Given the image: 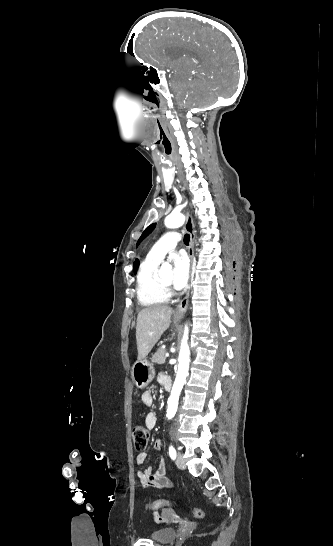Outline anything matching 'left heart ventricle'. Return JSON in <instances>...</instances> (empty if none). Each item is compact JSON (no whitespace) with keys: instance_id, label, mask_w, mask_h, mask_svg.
<instances>
[{"instance_id":"left-heart-ventricle-1","label":"left heart ventricle","mask_w":333,"mask_h":546,"mask_svg":"<svg viewBox=\"0 0 333 546\" xmlns=\"http://www.w3.org/2000/svg\"><path fill=\"white\" fill-rule=\"evenodd\" d=\"M172 280H173V279H172V276L169 275V276H167V277L162 278L161 281H162L163 284L171 285Z\"/></svg>"}]
</instances>
